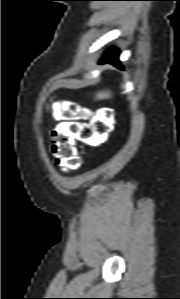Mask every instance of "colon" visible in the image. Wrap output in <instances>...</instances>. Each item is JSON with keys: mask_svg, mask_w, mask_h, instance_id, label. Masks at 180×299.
Listing matches in <instances>:
<instances>
[{"mask_svg": "<svg viewBox=\"0 0 180 299\" xmlns=\"http://www.w3.org/2000/svg\"><path fill=\"white\" fill-rule=\"evenodd\" d=\"M60 113L65 120L53 132L52 154L59 167L75 170L81 165L76 142L103 143L113 129L114 119L108 110L92 117L89 109L71 102L62 104Z\"/></svg>", "mask_w": 180, "mask_h": 299, "instance_id": "obj_1", "label": "colon"}]
</instances>
